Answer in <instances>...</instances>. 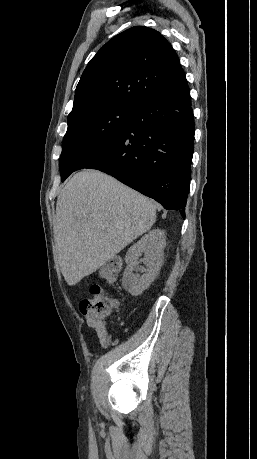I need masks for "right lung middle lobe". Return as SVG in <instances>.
Returning a JSON list of instances; mask_svg holds the SVG:
<instances>
[{
	"instance_id": "obj_1",
	"label": "right lung middle lobe",
	"mask_w": 257,
	"mask_h": 459,
	"mask_svg": "<svg viewBox=\"0 0 257 459\" xmlns=\"http://www.w3.org/2000/svg\"><path fill=\"white\" fill-rule=\"evenodd\" d=\"M134 113L135 107L110 106L69 122L59 162L61 180L119 135Z\"/></svg>"
}]
</instances>
